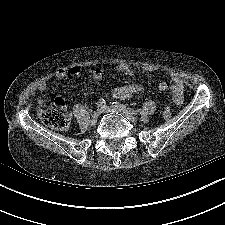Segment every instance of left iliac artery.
<instances>
[{"label": "left iliac artery", "instance_id": "44dca946", "mask_svg": "<svg viewBox=\"0 0 225 225\" xmlns=\"http://www.w3.org/2000/svg\"><path fill=\"white\" fill-rule=\"evenodd\" d=\"M112 106L113 107H116V108H123V109H126L128 110L129 112L133 113V114H137L138 111L135 110V109H132L130 107H127L126 105H123V104H120L119 102H112Z\"/></svg>", "mask_w": 225, "mask_h": 225}]
</instances>
